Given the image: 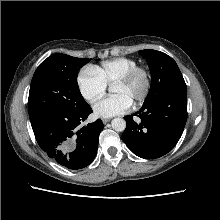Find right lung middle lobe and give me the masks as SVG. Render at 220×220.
<instances>
[{
    "mask_svg": "<svg viewBox=\"0 0 220 220\" xmlns=\"http://www.w3.org/2000/svg\"><path fill=\"white\" fill-rule=\"evenodd\" d=\"M90 60L53 54L39 65L29 91L30 121L54 111L75 113L88 106L80 93L77 75Z\"/></svg>",
    "mask_w": 220,
    "mask_h": 220,
    "instance_id": "dd1d6c3e",
    "label": "right lung middle lobe"
}]
</instances>
